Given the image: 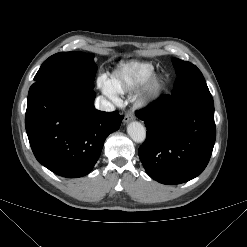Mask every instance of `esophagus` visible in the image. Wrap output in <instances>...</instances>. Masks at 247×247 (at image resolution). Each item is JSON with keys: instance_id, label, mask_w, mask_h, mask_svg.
<instances>
[{"instance_id": "1", "label": "esophagus", "mask_w": 247, "mask_h": 247, "mask_svg": "<svg viewBox=\"0 0 247 247\" xmlns=\"http://www.w3.org/2000/svg\"><path fill=\"white\" fill-rule=\"evenodd\" d=\"M135 119V115L131 112L127 113L124 117V122L127 123V122H130L132 120Z\"/></svg>"}]
</instances>
